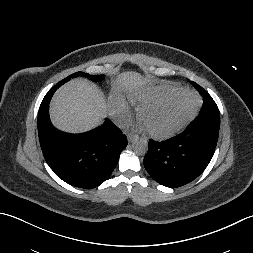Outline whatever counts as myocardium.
<instances>
[{
	"instance_id": "1",
	"label": "myocardium",
	"mask_w": 253,
	"mask_h": 253,
	"mask_svg": "<svg viewBox=\"0 0 253 253\" xmlns=\"http://www.w3.org/2000/svg\"><path fill=\"white\" fill-rule=\"evenodd\" d=\"M180 96H188L192 99V105H191L190 109L185 113V115L182 117V119L170 130H167L164 132H156V131L150 130L145 127L148 134L152 138H154L156 140H165V139H169V138L177 135L179 132H181L193 120V118L197 114V112L200 108V99L197 96V94L195 92H193L192 90L187 89V88H180L160 100L148 103V104L140 107V109L138 111V119L141 123H143V118L148 112L158 109V108H161V107L171 103L172 101H174L176 98H178Z\"/></svg>"
}]
</instances>
